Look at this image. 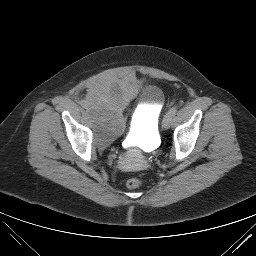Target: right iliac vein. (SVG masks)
Wrapping results in <instances>:
<instances>
[{
    "instance_id": "obj_1",
    "label": "right iliac vein",
    "mask_w": 256,
    "mask_h": 256,
    "mask_svg": "<svg viewBox=\"0 0 256 256\" xmlns=\"http://www.w3.org/2000/svg\"><path fill=\"white\" fill-rule=\"evenodd\" d=\"M83 110H84L85 112H89V111L91 110V107H90L89 105H85V106L83 107Z\"/></svg>"
}]
</instances>
